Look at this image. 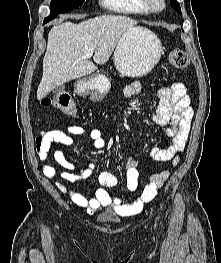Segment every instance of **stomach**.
I'll return each mask as SVG.
<instances>
[{
	"label": "stomach",
	"instance_id": "obj_1",
	"mask_svg": "<svg viewBox=\"0 0 221 263\" xmlns=\"http://www.w3.org/2000/svg\"><path fill=\"white\" fill-rule=\"evenodd\" d=\"M162 53L160 40L149 30L136 27L125 32L120 39L114 52V64L126 76L143 77L159 62ZM110 87V80L105 75L96 74L81 81L77 89L101 98Z\"/></svg>",
	"mask_w": 221,
	"mask_h": 263
}]
</instances>
